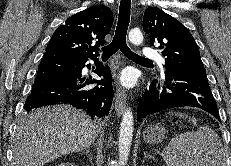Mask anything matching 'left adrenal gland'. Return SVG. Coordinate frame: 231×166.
Wrapping results in <instances>:
<instances>
[{"label":"left adrenal gland","mask_w":231,"mask_h":166,"mask_svg":"<svg viewBox=\"0 0 231 166\" xmlns=\"http://www.w3.org/2000/svg\"><path fill=\"white\" fill-rule=\"evenodd\" d=\"M147 157H150V158L154 159V157L152 155H150V154H148L147 152L144 151V160L143 161H145L147 159Z\"/></svg>","instance_id":"obj_1"}]
</instances>
